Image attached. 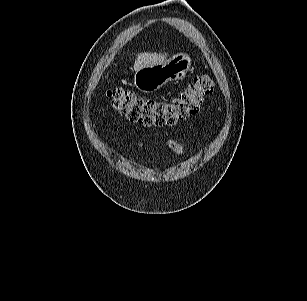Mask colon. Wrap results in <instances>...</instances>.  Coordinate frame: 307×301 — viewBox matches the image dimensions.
<instances>
[{
	"label": "colon",
	"mask_w": 307,
	"mask_h": 301,
	"mask_svg": "<svg viewBox=\"0 0 307 301\" xmlns=\"http://www.w3.org/2000/svg\"><path fill=\"white\" fill-rule=\"evenodd\" d=\"M213 80L198 75L182 92L169 100L143 98L121 89L108 93L110 106L129 120L145 126L169 127L195 115L203 98L212 93Z\"/></svg>",
	"instance_id": "1"
}]
</instances>
